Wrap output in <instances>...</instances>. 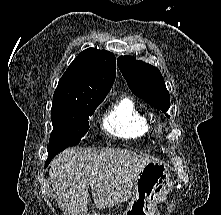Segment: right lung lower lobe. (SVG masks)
Instances as JSON below:
<instances>
[{
  "mask_svg": "<svg viewBox=\"0 0 221 215\" xmlns=\"http://www.w3.org/2000/svg\"><path fill=\"white\" fill-rule=\"evenodd\" d=\"M50 161H51V160H50ZM50 161H49V160H47V161H46V165H45V166H47V165L49 164V162H50Z\"/></svg>",
  "mask_w": 221,
  "mask_h": 215,
  "instance_id": "right-lung-lower-lobe-1",
  "label": "right lung lower lobe"
}]
</instances>
